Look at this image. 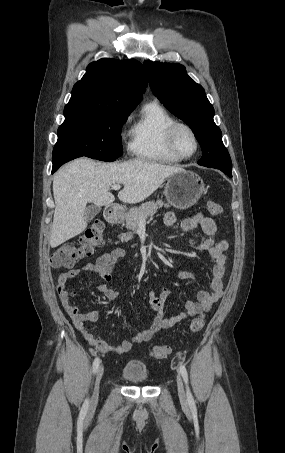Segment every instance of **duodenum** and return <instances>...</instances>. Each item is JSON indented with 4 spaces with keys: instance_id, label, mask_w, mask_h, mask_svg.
Instances as JSON below:
<instances>
[{
    "instance_id": "duodenum-1",
    "label": "duodenum",
    "mask_w": 285,
    "mask_h": 453,
    "mask_svg": "<svg viewBox=\"0 0 285 453\" xmlns=\"http://www.w3.org/2000/svg\"><path fill=\"white\" fill-rule=\"evenodd\" d=\"M106 220L109 223H116L120 216V209L116 206H109L106 209Z\"/></svg>"
}]
</instances>
